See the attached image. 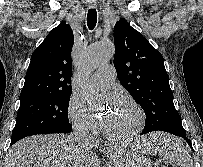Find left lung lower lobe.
<instances>
[{
	"label": "left lung lower lobe",
	"mask_w": 203,
	"mask_h": 167,
	"mask_svg": "<svg viewBox=\"0 0 203 167\" xmlns=\"http://www.w3.org/2000/svg\"><path fill=\"white\" fill-rule=\"evenodd\" d=\"M141 134H145V133L142 132ZM171 134H172V133H171ZM173 135H176V136H179V137L185 139V140L188 142V144L190 145V147L192 148V144H191L190 140L187 138L186 134L176 132V133L173 134ZM192 149H193V148H192Z\"/></svg>",
	"instance_id": "1"
}]
</instances>
